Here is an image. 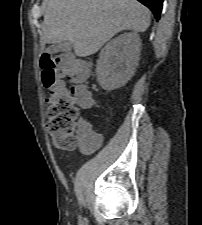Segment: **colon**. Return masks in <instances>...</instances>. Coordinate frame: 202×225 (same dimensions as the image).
<instances>
[{"label":"colon","instance_id":"1","mask_svg":"<svg viewBox=\"0 0 202 225\" xmlns=\"http://www.w3.org/2000/svg\"><path fill=\"white\" fill-rule=\"evenodd\" d=\"M84 62L77 58L60 57L47 50L40 59L43 85L50 90L46 108V130L54 147L68 153L76 146L88 149L93 145L92 130L78 124L77 99L89 77ZM68 78L72 84H66Z\"/></svg>","mask_w":202,"mask_h":225}]
</instances>
